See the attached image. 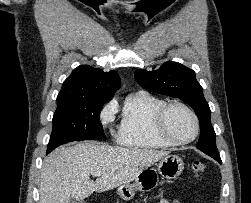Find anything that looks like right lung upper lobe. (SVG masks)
Returning a JSON list of instances; mask_svg holds the SVG:
<instances>
[{"label": "right lung upper lobe", "instance_id": "right-lung-upper-lobe-1", "mask_svg": "<svg viewBox=\"0 0 251 203\" xmlns=\"http://www.w3.org/2000/svg\"><path fill=\"white\" fill-rule=\"evenodd\" d=\"M120 84L116 71L104 72L88 65H80L63 82L57 96V106L78 101H109Z\"/></svg>", "mask_w": 251, "mask_h": 203}]
</instances>
